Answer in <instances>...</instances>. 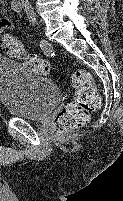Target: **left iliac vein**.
<instances>
[{"label":"left iliac vein","mask_w":123,"mask_h":201,"mask_svg":"<svg viewBox=\"0 0 123 201\" xmlns=\"http://www.w3.org/2000/svg\"><path fill=\"white\" fill-rule=\"evenodd\" d=\"M29 18H30V21H31L32 23H35V21L31 18L30 13H29Z\"/></svg>","instance_id":"obj_1"}]
</instances>
